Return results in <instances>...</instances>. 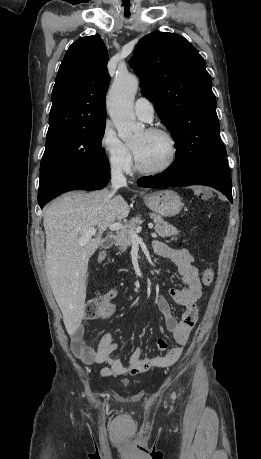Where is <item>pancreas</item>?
<instances>
[{
	"instance_id": "cf45deb5",
	"label": "pancreas",
	"mask_w": 261,
	"mask_h": 459,
	"mask_svg": "<svg viewBox=\"0 0 261 459\" xmlns=\"http://www.w3.org/2000/svg\"><path fill=\"white\" fill-rule=\"evenodd\" d=\"M150 217L155 223V231L159 236L162 238L170 237L172 240L177 239L176 236L180 233L177 228L164 221L161 216L155 213H150ZM139 220L138 216L133 218L129 223L124 225L121 231L117 233L115 237L116 245L119 246L121 251H125L127 247L131 246L132 237L130 232L136 230Z\"/></svg>"
}]
</instances>
